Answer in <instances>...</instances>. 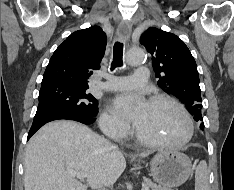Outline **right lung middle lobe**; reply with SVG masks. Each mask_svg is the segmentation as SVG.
<instances>
[{"label": "right lung middle lobe", "mask_w": 234, "mask_h": 190, "mask_svg": "<svg viewBox=\"0 0 234 190\" xmlns=\"http://www.w3.org/2000/svg\"><path fill=\"white\" fill-rule=\"evenodd\" d=\"M88 86L54 82L41 84L39 105L34 121L49 113L67 111L86 117L97 114V100L87 93Z\"/></svg>", "instance_id": "right-lung-middle-lobe-1"}]
</instances>
